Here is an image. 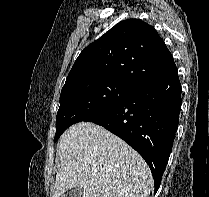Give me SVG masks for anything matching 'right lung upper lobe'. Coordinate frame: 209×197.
I'll return each mask as SVG.
<instances>
[{
    "label": "right lung upper lobe",
    "instance_id": "1",
    "mask_svg": "<svg viewBox=\"0 0 209 197\" xmlns=\"http://www.w3.org/2000/svg\"><path fill=\"white\" fill-rule=\"evenodd\" d=\"M174 66L173 57L155 28L142 20L128 19L80 53L64 86L116 80L136 88Z\"/></svg>",
    "mask_w": 209,
    "mask_h": 197
}]
</instances>
